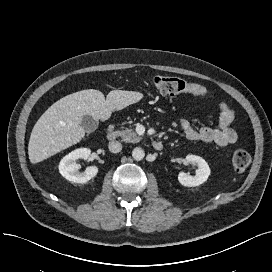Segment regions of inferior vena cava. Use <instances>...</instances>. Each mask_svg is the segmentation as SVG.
I'll return each instance as SVG.
<instances>
[{
    "label": "inferior vena cava",
    "mask_w": 272,
    "mask_h": 272,
    "mask_svg": "<svg viewBox=\"0 0 272 272\" xmlns=\"http://www.w3.org/2000/svg\"><path fill=\"white\" fill-rule=\"evenodd\" d=\"M108 148L112 153H119L122 150V144L118 141H111Z\"/></svg>",
    "instance_id": "obj_1"
}]
</instances>
